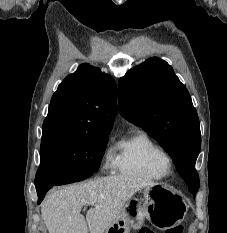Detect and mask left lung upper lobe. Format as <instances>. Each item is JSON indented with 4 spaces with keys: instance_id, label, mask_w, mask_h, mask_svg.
<instances>
[{
    "instance_id": "left-lung-upper-lobe-1",
    "label": "left lung upper lobe",
    "mask_w": 227,
    "mask_h": 233,
    "mask_svg": "<svg viewBox=\"0 0 227 233\" xmlns=\"http://www.w3.org/2000/svg\"><path fill=\"white\" fill-rule=\"evenodd\" d=\"M118 87L121 115L160 143L195 196L200 124L189 92L172 67L160 58H150L121 77Z\"/></svg>"
}]
</instances>
